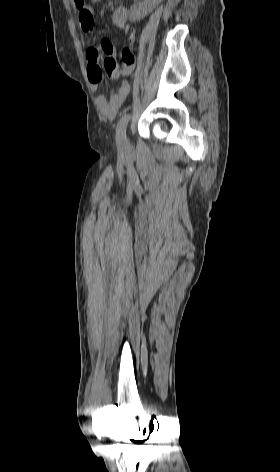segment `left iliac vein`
Segmentation results:
<instances>
[{"label": "left iliac vein", "mask_w": 280, "mask_h": 472, "mask_svg": "<svg viewBox=\"0 0 280 472\" xmlns=\"http://www.w3.org/2000/svg\"><path fill=\"white\" fill-rule=\"evenodd\" d=\"M123 145L125 147V149H129L130 148V142L129 140L126 138L125 140H123Z\"/></svg>", "instance_id": "obj_1"}]
</instances>
